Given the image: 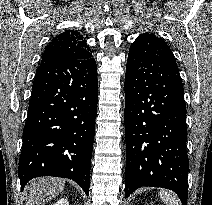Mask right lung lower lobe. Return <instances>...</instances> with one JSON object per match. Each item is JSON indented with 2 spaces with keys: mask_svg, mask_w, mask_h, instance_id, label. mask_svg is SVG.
Segmentation results:
<instances>
[{
  "mask_svg": "<svg viewBox=\"0 0 212 205\" xmlns=\"http://www.w3.org/2000/svg\"><path fill=\"white\" fill-rule=\"evenodd\" d=\"M98 81L93 57L42 62L23 130L21 190L39 176L69 178L89 194Z\"/></svg>",
  "mask_w": 212,
  "mask_h": 205,
  "instance_id": "98d812e1",
  "label": "right lung lower lobe"
}]
</instances>
